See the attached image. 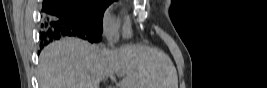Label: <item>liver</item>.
<instances>
[{"mask_svg":"<svg viewBox=\"0 0 267 88\" xmlns=\"http://www.w3.org/2000/svg\"><path fill=\"white\" fill-rule=\"evenodd\" d=\"M40 88H99L102 79L123 73L119 88H178L177 71L163 52L142 45L99 48L75 37H65L40 53Z\"/></svg>","mask_w":267,"mask_h":88,"instance_id":"6515ba94","label":"liver"}]
</instances>
